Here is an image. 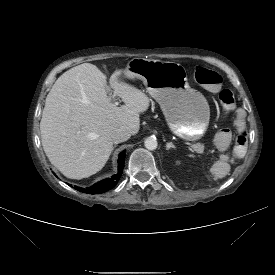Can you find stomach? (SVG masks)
I'll use <instances>...</instances> for the list:
<instances>
[{"label": "stomach", "instance_id": "obj_1", "mask_svg": "<svg viewBox=\"0 0 275 275\" xmlns=\"http://www.w3.org/2000/svg\"><path fill=\"white\" fill-rule=\"evenodd\" d=\"M124 75L143 81L175 135L186 141L203 137L210 120L209 104L201 92L189 86L181 64L135 58L127 64Z\"/></svg>", "mask_w": 275, "mask_h": 275}]
</instances>
